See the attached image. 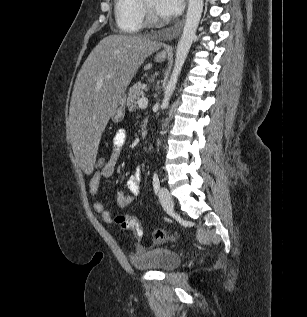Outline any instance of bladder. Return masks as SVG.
<instances>
[{"mask_svg": "<svg viewBox=\"0 0 307 317\" xmlns=\"http://www.w3.org/2000/svg\"><path fill=\"white\" fill-rule=\"evenodd\" d=\"M130 261L137 270L170 271L180 265L181 257L168 248H153L140 255H132Z\"/></svg>", "mask_w": 307, "mask_h": 317, "instance_id": "obj_1", "label": "bladder"}]
</instances>
